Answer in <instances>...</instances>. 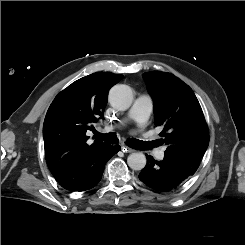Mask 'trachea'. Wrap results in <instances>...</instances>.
Masks as SVG:
<instances>
[{"label": "trachea", "instance_id": "1", "mask_svg": "<svg viewBox=\"0 0 245 245\" xmlns=\"http://www.w3.org/2000/svg\"><path fill=\"white\" fill-rule=\"evenodd\" d=\"M96 138H99L107 143L111 144H117L119 142V139L115 133H107V134H101L99 132H95ZM127 144L134 149L137 150H146L150 148L154 142H146L138 139H130L128 140Z\"/></svg>", "mask_w": 245, "mask_h": 245}]
</instances>
